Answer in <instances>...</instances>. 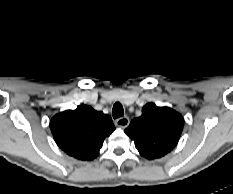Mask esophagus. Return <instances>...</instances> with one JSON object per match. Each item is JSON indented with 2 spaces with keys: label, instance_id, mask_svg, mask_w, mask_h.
<instances>
[{
  "label": "esophagus",
  "instance_id": "34e87169",
  "mask_svg": "<svg viewBox=\"0 0 233 194\" xmlns=\"http://www.w3.org/2000/svg\"><path fill=\"white\" fill-rule=\"evenodd\" d=\"M116 125L121 128H126L129 125V118L127 116L118 118L116 120Z\"/></svg>",
  "mask_w": 233,
  "mask_h": 194
}]
</instances>
